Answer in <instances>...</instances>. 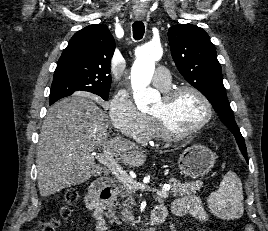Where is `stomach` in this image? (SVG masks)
I'll use <instances>...</instances> for the list:
<instances>
[{
	"instance_id": "0dacf381",
	"label": "stomach",
	"mask_w": 268,
	"mask_h": 231,
	"mask_svg": "<svg viewBox=\"0 0 268 231\" xmlns=\"http://www.w3.org/2000/svg\"><path fill=\"white\" fill-rule=\"evenodd\" d=\"M215 159L214 153L209 148L192 145L180 154L178 168L185 177L195 179L209 173L215 164Z\"/></svg>"
}]
</instances>
